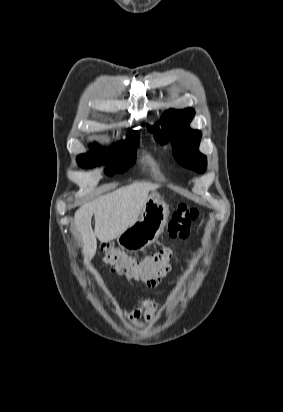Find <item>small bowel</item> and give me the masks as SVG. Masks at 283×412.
Instances as JSON below:
<instances>
[{"label": "small bowel", "mask_w": 283, "mask_h": 412, "mask_svg": "<svg viewBox=\"0 0 283 412\" xmlns=\"http://www.w3.org/2000/svg\"><path fill=\"white\" fill-rule=\"evenodd\" d=\"M148 285H154L144 281ZM157 305L150 299H143L137 303V305L130 311L121 310L119 314L131 323L136 322L141 317H145L150 323L156 321V315L154 313Z\"/></svg>", "instance_id": "1"}]
</instances>
